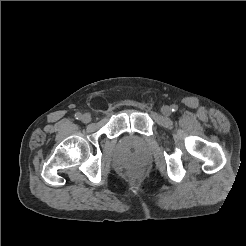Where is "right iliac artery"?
Instances as JSON below:
<instances>
[{
  "label": "right iliac artery",
  "mask_w": 246,
  "mask_h": 246,
  "mask_svg": "<svg viewBox=\"0 0 246 246\" xmlns=\"http://www.w3.org/2000/svg\"><path fill=\"white\" fill-rule=\"evenodd\" d=\"M75 118H76L77 120H80V119L82 118V114H81V113H76V114H75Z\"/></svg>",
  "instance_id": "right-iliac-artery-1"
}]
</instances>
